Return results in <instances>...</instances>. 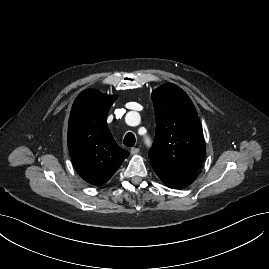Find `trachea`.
<instances>
[{"label":"trachea","mask_w":269,"mask_h":269,"mask_svg":"<svg viewBox=\"0 0 269 269\" xmlns=\"http://www.w3.org/2000/svg\"><path fill=\"white\" fill-rule=\"evenodd\" d=\"M136 139L133 133L129 132L124 137V145L127 147H132L135 145Z\"/></svg>","instance_id":"obj_1"}]
</instances>
